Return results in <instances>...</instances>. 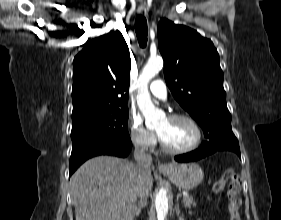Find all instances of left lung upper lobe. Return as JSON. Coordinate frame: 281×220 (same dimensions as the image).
<instances>
[{
	"instance_id": "5c2ea615",
	"label": "left lung upper lobe",
	"mask_w": 281,
	"mask_h": 220,
	"mask_svg": "<svg viewBox=\"0 0 281 220\" xmlns=\"http://www.w3.org/2000/svg\"><path fill=\"white\" fill-rule=\"evenodd\" d=\"M158 46L168 87L199 123L208 142L238 143L226 105L219 55L212 41L163 18L158 24Z\"/></svg>"
}]
</instances>
